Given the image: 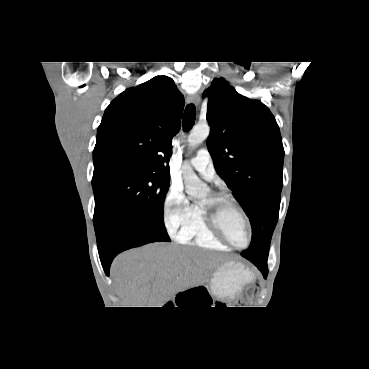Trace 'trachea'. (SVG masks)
Instances as JSON below:
<instances>
[{
    "label": "trachea",
    "mask_w": 369,
    "mask_h": 369,
    "mask_svg": "<svg viewBox=\"0 0 369 369\" xmlns=\"http://www.w3.org/2000/svg\"><path fill=\"white\" fill-rule=\"evenodd\" d=\"M196 118V109L193 104H189L186 106L184 115H183V129L188 132L194 125Z\"/></svg>",
    "instance_id": "3493384b"
}]
</instances>
